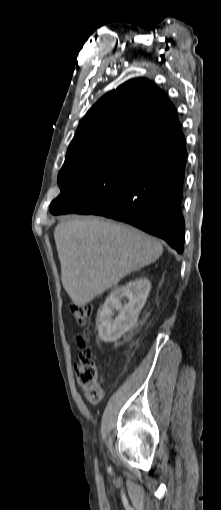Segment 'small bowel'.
I'll return each mask as SVG.
<instances>
[{"label":"small bowel","mask_w":221,"mask_h":510,"mask_svg":"<svg viewBox=\"0 0 221 510\" xmlns=\"http://www.w3.org/2000/svg\"><path fill=\"white\" fill-rule=\"evenodd\" d=\"M75 369L77 370V369H78V367H77V366H75Z\"/></svg>","instance_id":"1"}]
</instances>
